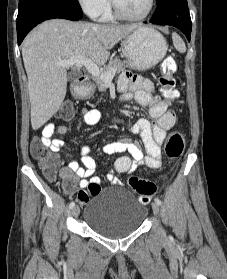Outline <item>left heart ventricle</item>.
<instances>
[{"instance_id": "1", "label": "left heart ventricle", "mask_w": 227, "mask_h": 279, "mask_svg": "<svg viewBox=\"0 0 227 279\" xmlns=\"http://www.w3.org/2000/svg\"><path fill=\"white\" fill-rule=\"evenodd\" d=\"M115 2L126 14L138 16L146 11L149 0H115Z\"/></svg>"}]
</instances>
